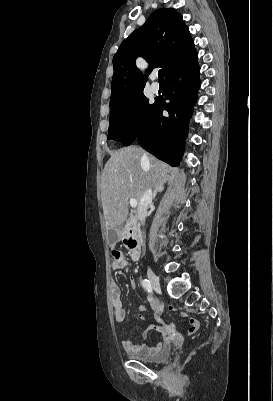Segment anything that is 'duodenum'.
Segmentation results:
<instances>
[{"label": "duodenum", "mask_w": 273, "mask_h": 401, "mask_svg": "<svg viewBox=\"0 0 273 401\" xmlns=\"http://www.w3.org/2000/svg\"><path fill=\"white\" fill-rule=\"evenodd\" d=\"M124 243L129 249L130 257L132 260H137L141 254V241L138 232L137 221L134 217H129L126 222V233Z\"/></svg>", "instance_id": "obj_1"}]
</instances>
